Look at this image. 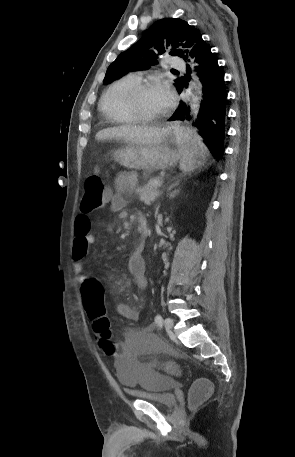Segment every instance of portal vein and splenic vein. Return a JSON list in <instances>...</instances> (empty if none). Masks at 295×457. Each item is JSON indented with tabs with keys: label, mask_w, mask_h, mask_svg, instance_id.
<instances>
[{
	"label": "portal vein and splenic vein",
	"mask_w": 295,
	"mask_h": 457,
	"mask_svg": "<svg viewBox=\"0 0 295 457\" xmlns=\"http://www.w3.org/2000/svg\"><path fill=\"white\" fill-rule=\"evenodd\" d=\"M154 185L159 187V186H161V183L158 182V181H155V182H154Z\"/></svg>",
	"instance_id": "1"
}]
</instances>
